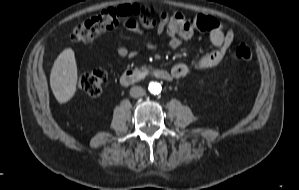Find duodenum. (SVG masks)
Returning a JSON list of instances; mask_svg holds the SVG:
<instances>
[{
  "mask_svg": "<svg viewBox=\"0 0 299 190\" xmlns=\"http://www.w3.org/2000/svg\"><path fill=\"white\" fill-rule=\"evenodd\" d=\"M145 75H151L158 79H164L168 80L171 78V74L166 69H153L146 72H142L139 70H130L126 72L122 78L121 81L125 85L134 84L138 81H140Z\"/></svg>",
  "mask_w": 299,
  "mask_h": 190,
  "instance_id": "410a0bca",
  "label": "duodenum"
}]
</instances>
